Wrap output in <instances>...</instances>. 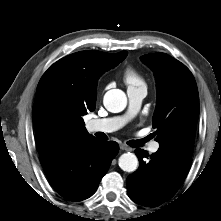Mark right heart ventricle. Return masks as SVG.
I'll use <instances>...</instances> for the list:
<instances>
[{"mask_svg": "<svg viewBox=\"0 0 221 221\" xmlns=\"http://www.w3.org/2000/svg\"><path fill=\"white\" fill-rule=\"evenodd\" d=\"M123 79L129 87H139V86L145 87V83L142 77L139 75V73L135 69L131 67H128L125 70L123 74Z\"/></svg>", "mask_w": 221, "mask_h": 221, "instance_id": "e07e8e85", "label": "right heart ventricle"}]
</instances>
